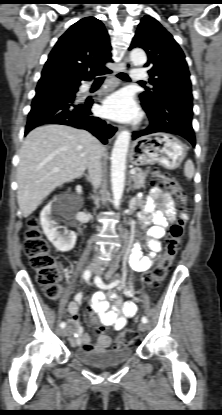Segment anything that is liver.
<instances>
[{
	"label": "liver",
	"mask_w": 222,
	"mask_h": 415,
	"mask_svg": "<svg viewBox=\"0 0 222 415\" xmlns=\"http://www.w3.org/2000/svg\"><path fill=\"white\" fill-rule=\"evenodd\" d=\"M98 140L85 130L51 124L25 138L17 168V201L30 216L57 187L83 175Z\"/></svg>",
	"instance_id": "obj_1"
}]
</instances>
